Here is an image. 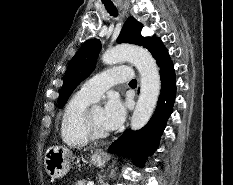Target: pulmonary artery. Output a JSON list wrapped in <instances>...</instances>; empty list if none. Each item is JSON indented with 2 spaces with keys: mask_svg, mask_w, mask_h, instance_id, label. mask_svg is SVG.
I'll return each mask as SVG.
<instances>
[{
  "mask_svg": "<svg viewBox=\"0 0 233 185\" xmlns=\"http://www.w3.org/2000/svg\"><path fill=\"white\" fill-rule=\"evenodd\" d=\"M131 78L132 70L129 67L109 68L87 80L79 92L96 101L111 86Z\"/></svg>",
  "mask_w": 233,
  "mask_h": 185,
  "instance_id": "1",
  "label": "pulmonary artery"
}]
</instances>
